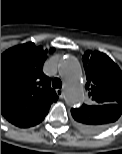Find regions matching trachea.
<instances>
[{
    "instance_id": "3493384b",
    "label": "trachea",
    "mask_w": 122,
    "mask_h": 154,
    "mask_svg": "<svg viewBox=\"0 0 122 154\" xmlns=\"http://www.w3.org/2000/svg\"><path fill=\"white\" fill-rule=\"evenodd\" d=\"M53 88H61L62 87V82L59 78H55L52 82Z\"/></svg>"
}]
</instances>
